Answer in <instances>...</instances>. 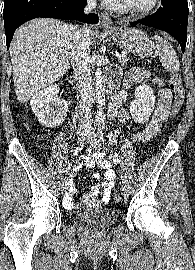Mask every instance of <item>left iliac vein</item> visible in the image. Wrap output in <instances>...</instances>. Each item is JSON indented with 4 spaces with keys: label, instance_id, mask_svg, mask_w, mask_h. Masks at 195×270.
<instances>
[{
    "label": "left iliac vein",
    "instance_id": "left-iliac-vein-1",
    "mask_svg": "<svg viewBox=\"0 0 195 270\" xmlns=\"http://www.w3.org/2000/svg\"><path fill=\"white\" fill-rule=\"evenodd\" d=\"M87 143L91 147H96L100 144V140H99L98 136L96 135L94 128H91L88 132ZM121 193L124 197H126L128 195V187L126 184L121 185Z\"/></svg>",
    "mask_w": 195,
    "mask_h": 270
}]
</instances>
